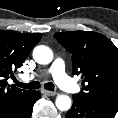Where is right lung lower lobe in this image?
<instances>
[{
	"label": "right lung lower lobe",
	"instance_id": "98d812e1",
	"mask_svg": "<svg viewBox=\"0 0 118 118\" xmlns=\"http://www.w3.org/2000/svg\"><path fill=\"white\" fill-rule=\"evenodd\" d=\"M39 98H40V93L36 92L35 97L31 101V103L24 110H22L12 118H30L33 110V105Z\"/></svg>",
	"mask_w": 118,
	"mask_h": 118
}]
</instances>
